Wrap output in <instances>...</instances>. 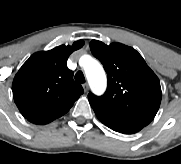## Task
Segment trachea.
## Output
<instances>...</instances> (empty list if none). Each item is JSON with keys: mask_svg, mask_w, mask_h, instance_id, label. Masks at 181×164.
Wrapping results in <instances>:
<instances>
[{"mask_svg": "<svg viewBox=\"0 0 181 164\" xmlns=\"http://www.w3.org/2000/svg\"><path fill=\"white\" fill-rule=\"evenodd\" d=\"M75 80L79 83H85V77L82 71H78L75 74Z\"/></svg>", "mask_w": 181, "mask_h": 164, "instance_id": "obj_1", "label": "trachea"}]
</instances>
